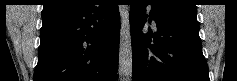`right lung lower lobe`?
<instances>
[{
    "label": "right lung lower lobe",
    "instance_id": "1",
    "mask_svg": "<svg viewBox=\"0 0 237 81\" xmlns=\"http://www.w3.org/2000/svg\"><path fill=\"white\" fill-rule=\"evenodd\" d=\"M34 81H115L120 18L113 0L42 18Z\"/></svg>",
    "mask_w": 237,
    "mask_h": 81
}]
</instances>
